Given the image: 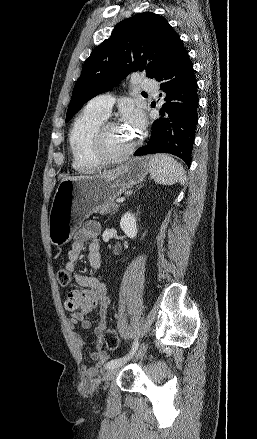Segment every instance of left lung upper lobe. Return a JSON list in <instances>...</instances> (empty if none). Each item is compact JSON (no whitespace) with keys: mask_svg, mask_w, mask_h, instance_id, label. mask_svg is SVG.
Here are the masks:
<instances>
[{"mask_svg":"<svg viewBox=\"0 0 257 439\" xmlns=\"http://www.w3.org/2000/svg\"><path fill=\"white\" fill-rule=\"evenodd\" d=\"M179 38L163 17L152 12L136 14L118 23L85 61L66 114L68 122L96 95L112 89L133 71L146 69L157 78L165 68ZM147 59H154L146 66Z\"/></svg>","mask_w":257,"mask_h":439,"instance_id":"1","label":"left lung upper lobe"}]
</instances>
